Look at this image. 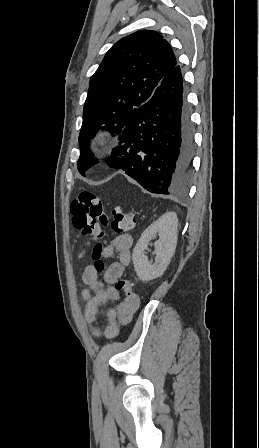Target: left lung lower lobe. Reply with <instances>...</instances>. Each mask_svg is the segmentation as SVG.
Here are the masks:
<instances>
[{"label": "left lung lower lobe", "mask_w": 259, "mask_h": 448, "mask_svg": "<svg viewBox=\"0 0 259 448\" xmlns=\"http://www.w3.org/2000/svg\"><path fill=\"white\" fill-rule=\"evenodd\" d=\"M121 133V145L107 159L110 167L124 170L152 193L170 195L186 186L193 127L179 65L144 105L131 111Z\"/></svg>", "instance_id": "left-lung-lower-lobe-1"}]
</instances>
